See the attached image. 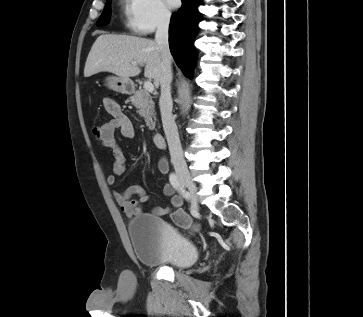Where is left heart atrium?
<instances>
[{"mask_svg": "<svg viewBox=\"0 0 363 317\" xmlns=\"http://www.w3.org/2000/svg\"><path fill=\"white\" fill-rule=\"evenodd\" d=\"M167 2L171 7H177L179 4V0H167Z\"/></svg>", "mask_w": 363, "mask_h": 317, "instance_id": "obj_1", "label": "left heart atrium"}]
</instances>
